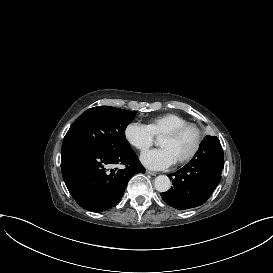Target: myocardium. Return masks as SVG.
Wrapping results in <instances>:
<instances>
[{"mask_svg":"<svg viewBox=\"0 0 273 273\" xmlns=\"http://www.w3.org/2000/svg\"><path fill=\"white\" fill-rule=\"evenodd\" d=\"M190 129H194L196 131L193 146H192L190 152L184 158H182L181 160H179L177 162L178 164H185V163L191 161L197 155V153L199 152L200 146H201V142H202V136H203L202 128L195 123L189 122L181 127H177V128L171 129L169 131H166L163 134H161V136H160V138L175 137V136H178Z\"/></svg>","mask_w":273,"mask_h":273,"instance_id":"1","label":"myocardium"}]
</instances>
